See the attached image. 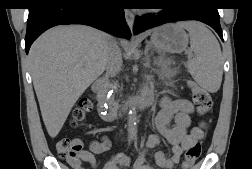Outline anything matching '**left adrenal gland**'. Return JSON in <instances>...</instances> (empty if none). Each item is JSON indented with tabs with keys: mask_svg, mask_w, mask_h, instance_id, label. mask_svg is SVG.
<instances>
[{
	"mask_svg": "<svg viewBox=\"0 0 252 169\" xmlns=\"http://www.w3.org/2000/svg\"><path fill=\"white\" fill-rule=\"evenodd\" d=\"M152 49V45L149 44L145 50V54H146V59H147V63H149L150 61V55L148 54V52ZM161 59V58H160Z\"/></svg>",
	"mask_w": 252,
	"mask_h": 169,
	"instance_id": "obj_1",
	"label": "left adrenal gland"
}]
</instances>
